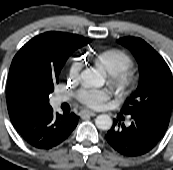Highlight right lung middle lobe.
I'll return each mask as SVG.
<instances>
[{"mask_svg": "<svg viewBox=\"0 0 173 170\" xmlns=\"http://www.w3.org/2000/svg\"><path fill=\"white\" fill-rule=\"evenodd\" d=\"M53 91V89H50L47 93H46V100L47 102L49 101V94Z\"/></svg>", "mask_w": 173, "mask_h": 170, "instance_id": "right-lung-middle-lobe-1", "label": "right lung middle lobe"}]
</instances>
